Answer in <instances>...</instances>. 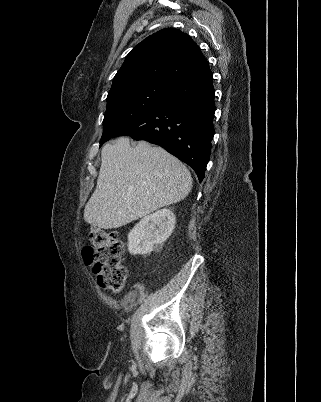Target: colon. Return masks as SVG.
Segmentation results:
<instances>
[{"label": "colon", "mask_w": 321, "mask_h": 402, "mask_svg": "<svg viewBox=\"0 0 321 402\" xmlns=\"http://www.w3.org/2000/svg\"><path fill=\"white\" fill-rule=\"evenodd\" d=\"M123 243L111 231L91 228L89 244L82 250L86 264L93 265L101 288L109 291H120L127 278V268L121 262Z\"/></svg>", "instance_id": "obj_1"}]
</instances>
